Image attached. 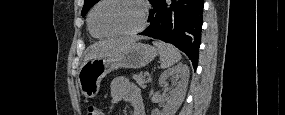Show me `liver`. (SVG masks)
<instances>
[{
    "mask_svg": "<svg viewBox=\"0 0 285 115\" xmlns=\"http://www.w3.org/2000/svg\"><path fill=\"white\" fill-rule=\"evenodd\" d=\"M135 38H119L114 40H106L95 44L84 58L82 66L89 60L95 58H102L118 54L126 49L130 44L134 43Z\"/></svg>",
    "mask_w": 285,
    "mask_h": 115,
    "instance_id": "6515ba94",
    "label": "liver"
}]
</instances>
